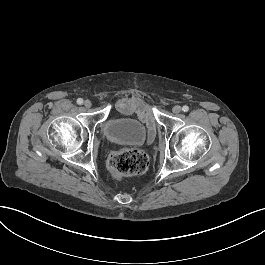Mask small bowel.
<instances>
[{
  "label": "small bowel",
  "instance_id": "1",
  "mask_svg": "<svg viewBox=\"0 0 265 265\" xmlns=\"http://www.w3.org/2000/svg\"><path fill=\"white\" fill-rule=\"evenodd\" d=\"M117 109L122 113H130L135 111L140 115L141 120L146 121L148 127V142L152 141L155 135V126L151 118L149 106L143 104L137 98H132L130 100L119 99L116 102Z\"/></svg>",
  "mask_w": 265,
  "mask_h": 265
}]
</instances>
